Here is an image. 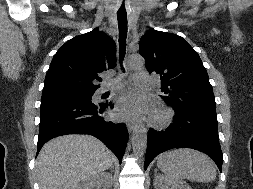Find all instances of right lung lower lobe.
<instances>
[{
    "mask_svg": "<svg viewBox=\"0 0 253 189\" xmlns=\"http://www.w3.org/2000/svg\"><path fill=\"white\" fill-rule=\"evenodd\" d=\"M111 107L113 105L110 103ZM106 104L91 100L51 98L41 100L40 131L37 153L49 139L64 135L86 133L102 140L121 163L128 131L123 123L107 121L103 116Z\"/></svg>",
    "mask_w": 253,
    "mask_h": 189,
    "instance_id": "1",
    "label": "right lung lower lobe"
}]
</instances>
